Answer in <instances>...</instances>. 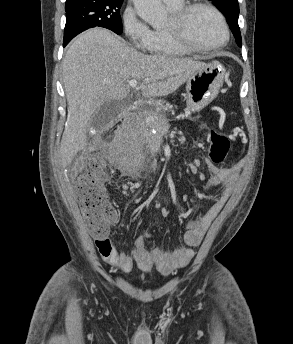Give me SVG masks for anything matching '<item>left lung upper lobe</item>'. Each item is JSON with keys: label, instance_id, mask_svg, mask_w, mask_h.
<instances>
[{"label": "left lung upper lobe", "instance_id": "left-lung-upper-lobe-1", "mask_svg": "<svg viewBox=\"0 0 293 344\" xmlns=\"http://www.w3.org/2000/svg\"><path fill=\"white\" fill-rule=\"evenodd\" d=\"M213 4L224 14L229 27L235 36L237 44L241 47L242 39L238 25L239 5L238 0H212Z\"/></svg>", "mask_w": 293, "mask_h": 344}]
</instances>
